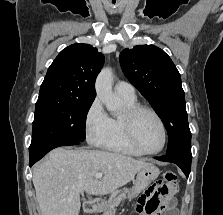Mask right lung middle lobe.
Returning <instances> with one entry per match:
<instances>
[{
	"label": "right lung middle lobe",
	"mask_w": 223,
	"mask_h": 215,
	"mask_svg": "<svg viewBox=\"0 0 223 215\" xmlns=\"http://www.w3.org/2000/svg\"><path fill=\"white\" fill-rule=\"evenodd\" d=\"M92 102L39 97L29 151L49 145L85 140L86 116Z\"/></svg>",
	"instance_id": "right-lung-middle-lobe-1"
}]
</instances>
